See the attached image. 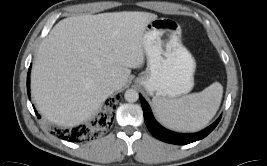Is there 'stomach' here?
Listing matches in <instances>:
<instances>
[{
    "instance_id": "1",
    "label": "stomach",
    "mask_w": 267,
    "mask_h": 166,
    "mask_svg": "<svg viewBox=\"0 0 267 166\" xmlns=\"http://www.w3.org/2000/svg\"><path fill=\"white\" fill-rule=\"evenodd\" d=\"M147 69L135 82L150 95L173 99L194 86L196 62L181 42V29L168 18L151 21L144 33Z\"/></svg>"
}]
</instances>
